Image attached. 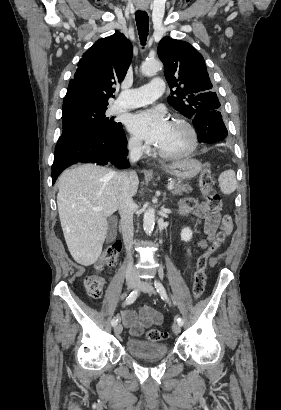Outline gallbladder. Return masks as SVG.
<instances>
[{"label":"gallbladder","instance_id":"bac80fb5","mask_svg":"<svg viewBox=\"0 0 281 410\" xmlns=\"http://www.w3.org/2000/svg\"><path fill=\"white\" fill-rule=\"evenodd\" d=\"M113 233L112 232H109V234H108V239L110 240V239H112L113 238Z\"/></svg>","mask_w":281,"mask_h":410}]
</instances>
